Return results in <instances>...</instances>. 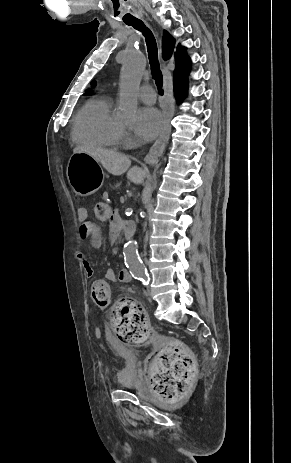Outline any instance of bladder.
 <instances>
[{
	"mask_svg": "<svg viewBox=\"0 0 291 463\" xmlns=\"http://www.w3.org/2000/svg\"><path fill=\"white\" fill-rule=\"evenodd\" d=\"M117 353L123 358L124 368L118 373L117 381L121 388H136L139 385V377L136 371L137 358L135 350L127 346H119Z\"/></svg>",
	"mask_w": 291,
	"mask_h": 463,
	"instance_id": "31cf9c89",
	"label": "bladder"
}]
</instances>
